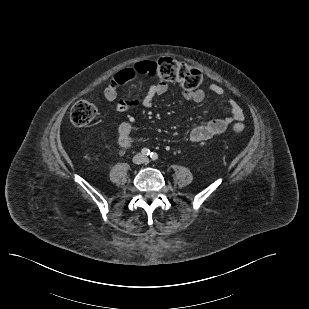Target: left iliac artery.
<instances>
[{
    "mask_svg": "<svg viewBox=\"0 0 309 309\" xmlns=\"http://www.w3.org/2000/svg\"><path fill=\"white\" fill-rule=\"evenodd\" d=\"M150 157H151L152 160H157V159H158V154L155 153V152H152V153L150 154Z\"/></svg>",
    "mask_w": 309,
    "mask_h": 309,
    "instance_id": "44dca946",
    "label": "left iliac artery"
}]
</instances>
